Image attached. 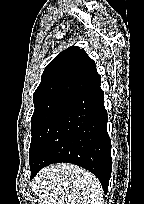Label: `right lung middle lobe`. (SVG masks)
Segmentation results:
<instances>
[{"mask_svg": "<svg viewBox=\"0 0 144 204\" xmlns=\"http://www.w3.org/2000/svg\"><path fill=\"white\" fill-rule=\"evenodd\" d=\"M74 98L75 97L69 95H61L35 104V110L31 118L32 138L29 150L30 166L48 139L57 121Z\"/></svg>", "mask_w": 144, "mask_h": 204, "instance_id": "obj_1", "label": "right lung middle lobe"}]
</instances>
